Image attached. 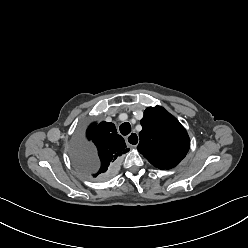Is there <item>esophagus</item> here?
<instances>
[{"label":"esophagus","mask_w":248,"mask_h":248,"mask_svg":"<svg viewBox=\"0 0 248 248\" xmlns=\"http://www.w3.org/2000/svg\"><path fill=\"white\" fill-rule=\"evenodd\" d=\"M126 143L130 147H136L139 143V137H138L137 133L132 132L131 134H129L126 138Z\"/></svg>","instance_id":"34e87169"}]
</instances>
